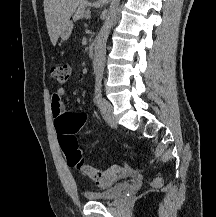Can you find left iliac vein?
Listing matches in <instances>:
<instances>
[{
    "mask_svg": "<svg viewBox=\"0 0 216 217\" xmlns=\"http://www.w3.org/2000/svg\"><path fill=\"white\" fill-rule=\"evenodd\" d=\"M100 111L104 120L111 126H117V120L113 114V106L109 101L103 99L100 103Z\"/></svg>",
    "mask_w": 216,
    "mask_h": 217,
    "instance_id": "obj_1",
    "label": "left iliac vein"
}]
</instances>
